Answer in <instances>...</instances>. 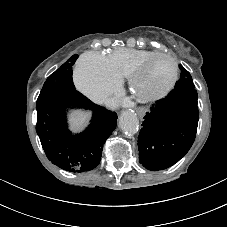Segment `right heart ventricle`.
I'll use <instances>...</instances> for the list:
<instances>
[{
  "label": "right heart ventricle",
  "instance_id": "e07e8e85",
  "mask_svg": "<svg viewBox=\"0 0 227 227\" xmlns=\"http://www.w3.org/2000/svg\"><path fill=\"white\" fill-rule=\"evenodd\" d=\"M155 53L154 50L117 48L108 54L107 59L116 75L128 78L139 63Z\"/></svg>",
  "mask_w": 227,
  "mask_h": 227
}]
</instances>
